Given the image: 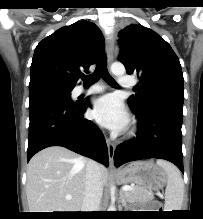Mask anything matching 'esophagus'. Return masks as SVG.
Instances as JSON below:
<instances>
[{
    "instance_id": "esophagus-1",
    "label": "esophagus",
    "mask_w": 203,
    "mask_h": 219,
    "mask_svg": "<svg viewBox=\"0 0 203 219\" xmlns=\"http://www.w3.org/2000/svg\"><path fill=\"white\" fill-rule=\"evenodd\" d=\"M106 56H107V62L108 65H111L113 59H114V38L113 36H108L106 38ZM107 147H108V155L110 164L113 163L114 158V152H115V145L110 141V139H106Z\"/></svg>"
}]
</instances>
